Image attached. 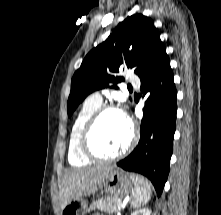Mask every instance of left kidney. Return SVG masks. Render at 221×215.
Listing matches in <instances>:
<instances>
[{
    "mask_svg": "<svg viewBox=\"0 0 221 215\" xmlns=\"http://www.w3.org/2000/svg\"><path fill=\"white\" fill-rule=\"evenodd\" d=\"M131 215H151V210L149 208H142L131 213Z\"/></svg>",
    "mask_w": 221,
    "mask_h": 215,
    "instance_id": "1",
    "label": "left kidney"
}]
</instances>
